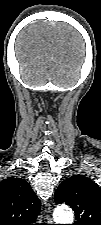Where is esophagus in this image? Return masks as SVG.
I'll return each mask as SVG.
<instances>
[{
    "label": "esophagus",
    "instance_id": "esophagus-1",
    "mask_svg": "<svg viewBox=\"0 0 101 225\" xmlns=\"http://www.w3.org/2000/svg\"><path fill=\"white\" fill-rule=\"evenodd\" d=\"M47 219L50 220L49 216L47 215Z\"/></svg>",
    "mask_w": 101,
    "mask_h": 225
}]
</instances>
